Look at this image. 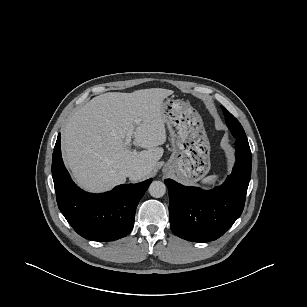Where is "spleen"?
<instances>
[{"mask_svg": "<svg viewBox=\"0 0 307 307\" xmlns=\"http://www.w3.org/2000/svg\"><path fill=\"white\" fill-rule=\"evenodd\" d=\"M218 177H219L218 175L208 176L202 181V184L205 186H214L218 180Z\"/></svg>", "mask_w": 307, "mask_h": 307, "instance_id": "3e777b00", "label": "spleen"}]
</instances>
